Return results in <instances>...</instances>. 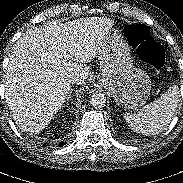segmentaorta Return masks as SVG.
I'll use <instances>...</instances> for the list:
<instances>
[{
    "mask_svg": "<svg viewBox=\"0 0 183 183\" xmlns=\"http://www.w3.org/2000/svg\"><path fill=\"white\" fill-rule=\"evenodd\" d=\"M106 104V97L102 93L93 94L91 98V105L94 108H103Z\"/></svg>",
    "mask_w": 183,
    "mask_h": 183,
    "instance_id": "obj_1",
    "label": "aorta"
}]
</instances>
